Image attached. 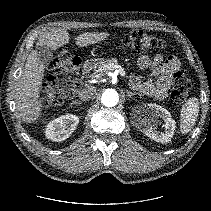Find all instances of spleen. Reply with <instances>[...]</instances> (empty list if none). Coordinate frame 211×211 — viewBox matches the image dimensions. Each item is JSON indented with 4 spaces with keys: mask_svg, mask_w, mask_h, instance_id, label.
<instances>
[{
    "mask_svg": "<svg viewBox=\"0 0 211 211\" xmlns=\"http://www.w3.org/2000/svg\"><path fill=\"white\" fill-rule=\"evenodd\" d=\"M199 113V101L196 97L190 98L181 109L180 130L186 134L193 128Z\"/></svg>",
    "mask_w": 211,
    "mask_h": 211,
    "instance_id": "obj_1",
    "label": "spleen"
}]
</instances>
